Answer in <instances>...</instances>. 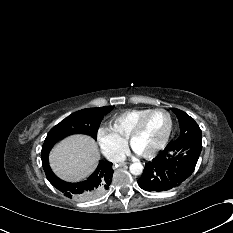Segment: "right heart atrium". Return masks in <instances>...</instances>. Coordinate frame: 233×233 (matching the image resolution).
<instances>
[{"label": "right heart atrium", "mask_w": 233, "mask_h": 233, "mask_svg": "<svg viewBox=\"0 0 233 233\" xmlns=\"http://www.w3.org/2000/svg\"><path fill=\"white\" fill-rule=\"evenodd\" d=\"M98 145L104 156L113 161H119L126 150V143L115 137L109 130L100 129L97 133Z\"/></svg>", "instance_id": "1"}]
</instances>
